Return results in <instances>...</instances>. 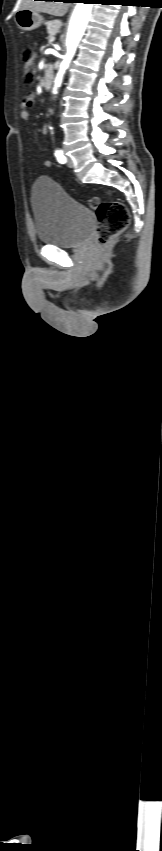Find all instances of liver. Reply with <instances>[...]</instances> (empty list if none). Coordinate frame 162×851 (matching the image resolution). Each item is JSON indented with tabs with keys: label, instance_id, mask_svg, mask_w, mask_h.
I'll return each instance as SVG.
<instances>
[{
	"label": "liver",
	"instance_id": "obj_1",
	"mask_svg": "<svg viewBox=\"0 0 162 851\" xmlns=\"http://www.w3.org/2000/svg\"><path fill=\"white\" fill-rule=\"evenodd\" d=\"M19 9H31L36 12H44L53 16L62 17L66 14L69 4L55 1L19 0Z\"/></svg>",
	"mask_w": 162,
	"mask_h": 851
}]
</instances>
